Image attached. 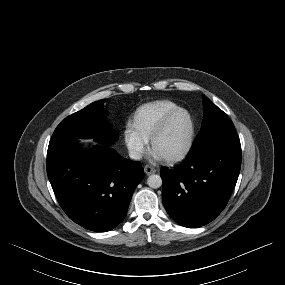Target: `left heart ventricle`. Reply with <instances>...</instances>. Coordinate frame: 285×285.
<instances>
[{
    "mask_svg": "<svg viewBox=\"0 0 285 285\" xmlns=\"http://www.w3.org/2000/svg\"><path fill=\"white\" fill-rule=\"evenodd\" d=\"M189 131L190 122L187 115L185 113L177 114L156 141L155 152L162 158L179 154L186 146Z\"/></svg>",
    "mask_w": 285,
    "mask_h": 285,
    "instance_id": "1",
    "label": "left heart ventricle"
}]
</instances>
